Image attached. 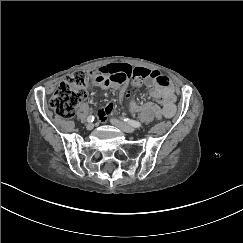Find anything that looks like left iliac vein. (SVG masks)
I'll return each instance as SVG.
<instances>
[{
  "label": "left iliac vein",
  "instance_id": "obj_1",
  "mask_svg": "<svg viewBox=\"0 0 243 243\" xmlns=\"http://www.w3.org/2000/svg\"><path fill=\"white\" fill-rule=\"evenodd\" d=\"M110 121H111V123L113 125H115L116 127H118L119 129H121L122 131H124L126 133H133V132H135V128L134 127H132V126L126 124V123H123V122H121V121H119L117 119H113L112 118Z\"/></svg>",
  "mask_w": 243,
  "mask_h": 243
}]
</instances>
